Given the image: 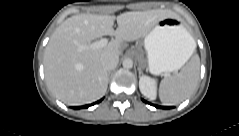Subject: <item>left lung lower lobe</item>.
Instances as JSON below:
<instances>
[{
    "instance_id": "obj_1",
    "label": "left lung lower lobe",
    "mask_w": 239,
    "mask_h": 136,
    "mask_svg": "<svg viewBox=\"0 0 239 136\" xmlns=\"http://www.w3.org/2000/svg\"><path fill=\"white\" fill-rule=\"evenodd\" d=\"M144 102H146V101H144ZM146 103H148V102H146ZM148 104H149V103H148ZM152 106H155L156 108H161V109L173 108V107H167V106H157V105H154V104H152Z\"/></svg>"
}]
</instances>
